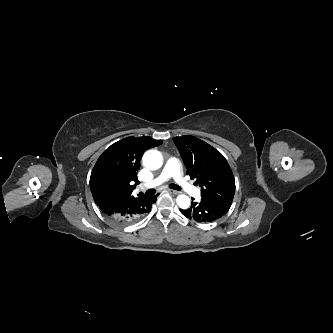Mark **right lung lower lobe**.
<instances>
[{
	"label": "right lung lower lobe",
	"instance_id": "1",
	"mask_svg": "<svg viewBox=\"0 0 333 333\" xmlns=\"http://www.w3.org/2000/svg\"><path fill=\"white\" fill-rule=\"evenodd\" d=\"M156 196L130 198H112L98 204L103 214L118 224L130 225L151 211Z\"/></svg>",
	"mask_w": 333,
	"mask_h": 333
}]
</instances>
